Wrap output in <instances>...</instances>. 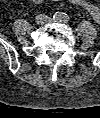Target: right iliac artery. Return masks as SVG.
Masks as SVG:
<instances>
[{
  "instance_id": "right-iliac-artery-1",
  "label": "right iliac artery",
  "mask_w": 100,
  "mask_h": 118,
  "mask_svg": "<svg viewBox=\"0 0 100 118\" xmlns=\"http://www.w3.org/2000/svg\"><path fill=\"white\" fill-rule=\"evenodd\" d=\"M53 19L55 20V21H61V13H55L54 15H53Z\"/></svg>"
}]
</instances>
